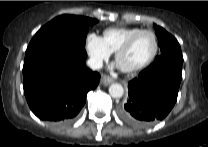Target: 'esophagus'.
<instances>
[{"mask_svg":"<svg viewBox=\"0 0 208 147\" xmlns=\"http://www.w3.org/2000/svg\"><path fill=\"white\" fill-rule=\"evenodd\" d=\"M101 82H102V84H103L104 86H108V85H110L111 83H113L114 80H113L112 78L108 77V76H102Z\"/></svg>","mask_w":208,"mask_h":147,"instance_id":"esophagus-1","label":"esophagus"}]
</instances>
